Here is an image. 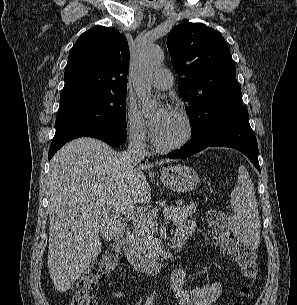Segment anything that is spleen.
Segmentation results:
<instances>
[{"label": "spleen", "mask_w": 297, "mask_h": 305, "mask_svg": "<svg viewBox=\"0 0 297 305\" xmlns=\"http://www.w3.org/2000/svg\"><path fill=\"white\" fill-rule=\"evenodd\" d=\"M233 214L228 218V226L238 240L248 248H258L260 240L259 211L254 187L247 169L240 166L238 181L231 192Z\"/></svg>", "instance_id": "3e777b00"}]
</instances>
